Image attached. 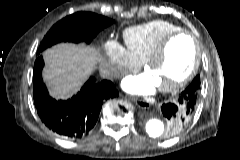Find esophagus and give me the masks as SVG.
<instances>
[{
	"label": "esophagus",
	"mask_w": 240,
	"mask_h": 160,
	"mask_svg": "<svg viewBox=\"0 0 240 160\" xmlns=\"http://www.w3.org/2000/svg\"><path fill=\"white\" fill-rule=\"evenodd\" d=\"M132 101L140 108H147L149 105L148 101L138 98H133Z\"/></svg>",
	"instance_id": "34e87169"
}]
</instances>
